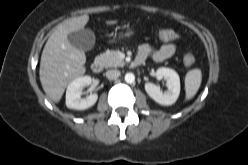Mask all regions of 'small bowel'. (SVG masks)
I'll use <instances>...</instances> for the list:
<instances>
[{"instance_id": "1", "label": "small bowel", "mask_w": 248, "mask_h": 165, "mask_svg": "<svg viewBox=\"0 0 248 165\" xmlns=\"http://www.w3.org/2000/svg\"><path fill=\"white\" fill-rule=\"evenodd\" d=\"M176 52V45L172 42L164 43L158 50L153 51L151 46L143 44L139 47L138 56L144 60L151 58L153 61L159 63L171 58Z\"/></svg>"}]
</instances>
